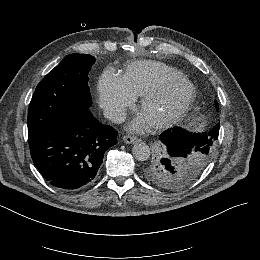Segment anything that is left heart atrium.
Wrapping results in <instances>:
<instances>
[{
	"label": "left heart atrium",
	"mask_w": 260,
	"mask_h": 260,
	"mask_svg": "<svg viewBox=\"0 0 260 260\" xmlns=\"http://www.w3.org/2000/svg\"><path fill=\"white\" fill-rule=\"evenodd\" d=\"M148 126V121L145 117L139 116L129 124V129L133 131H141Z\"/></svg>",
	"instance_id": "obj_1"
}]
</instances>
